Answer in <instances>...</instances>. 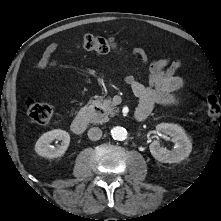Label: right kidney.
<instances>
[{
	"label": "right kidney",
	"instance_id": "obj_1",
	"mask_svg": "<svg viewBox=\"0 0 221 221\" xmlns=\"http://www.w3.org/2000/svg\"><path fill=\"white\" fill-rule=\"evenodd\" d=\"M54 140H61V145L54 147L50 143ZM70 143V135L61 129H54L44 133L35 144V151L38 155L46 158L61 157L67 150Z\"/></svg>",
	"mask_w": 221,
	"mask_h": 221
}]
</instances>
